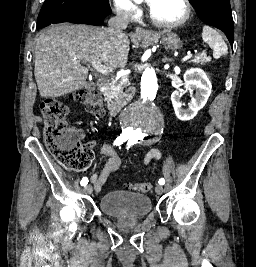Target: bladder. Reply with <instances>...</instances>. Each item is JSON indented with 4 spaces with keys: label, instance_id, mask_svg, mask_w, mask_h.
I'll return each instance as SVG.
<instances>
[{
    "label": "bladder",
    "instance_id": "31cf9c89",
    "mask_svg": "<svg viewBox=\"0 0 256 267\" xmlns=\"http://www.w3.org/2000/svg\"><path fill=\"white\" fill-rule=\"evenodd\" d=\"M99 208L114 217H143L151 212V200L145 194L111 191L102 195Z\"/></svg>",
    "mask_w": 256,
    "mask_h": 267
}]
</instances>
